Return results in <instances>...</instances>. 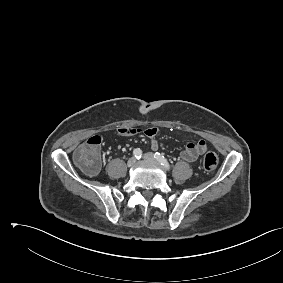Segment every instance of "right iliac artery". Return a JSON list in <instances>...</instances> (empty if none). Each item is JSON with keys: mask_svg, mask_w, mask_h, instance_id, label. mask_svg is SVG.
<instances>
[{"mask_svg": "<svg viewBox=\"0 0 283 283\" xmlns=\"http://www.w3.org/2000/svg\"><path fill=\"white\" fill-rule=\"evenodd\" d=\"M133 155H134L137 159L141 158V155H142L141 149H139V148L134 149Z\"/></svg>", "mask_w": 283, "mask_h": 283, "instance_id": "82829eb1", "label": "right iliac artery"}]
</instances>
